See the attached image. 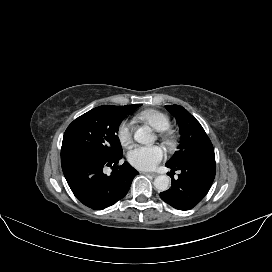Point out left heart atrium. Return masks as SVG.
I'll return each mask as SVG.
<instances>
[{"label":"left heart atrium","mask_w":272,"mask_h":272,"mask_svg":"<svg viewBox=\"0 0 272 272\" xmlns=\"http://www.w3.org/2000/svg\"><path fill=\"white\" fill-rule=\"evenodd\" d=\"M164 155L159 146H135L129 151L128 160L138 169L152 170L163 160Z\"/></svg>","instance_id":"obj_1"}]
</instances>
